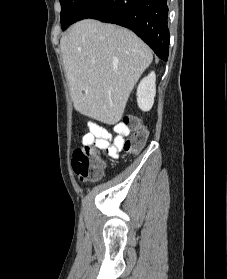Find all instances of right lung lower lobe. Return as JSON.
Listing matches in <instances>:
<instances>
[{
    "mask_svg": "<svg viewBox=\"0 0 227 279\" xmlns=\"http://www.w3.org/2000/svg\"><path fill=\"white\" fill-rule=\"evenodd\" d=\"M86 18L131 29L160 59L167 60L170 41L167 0H84L73 23Z\"/></svg>",
    "mask_w": 227,
    "mask_h": 279,
    "instance_id": "98d812e1",
    "label": "right lung lower lobe"
}]
</instances>
